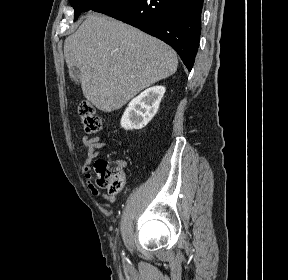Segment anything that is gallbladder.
<instances>
[{
  "label": "gallbladder",
  "mask_w": 288,
  "mask_h": 280,
  "mask_svg": "<svg viewBox=\"0 0 288 280\" xmlns=\"http://www.w3.org/2000/svg\"><path fill=\"white\" fill-rule=\"evenodd\" d=\"M69 71H70V74H72L76 78H78L79 75H80V70L77 67H72V68L69 69Z\"/></svg>",
  "instance_id": "gallbladder-1"
}]
</instances>
